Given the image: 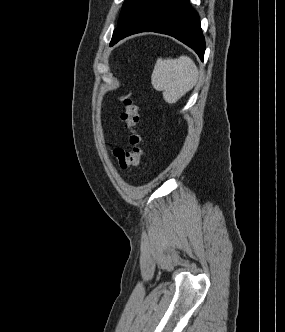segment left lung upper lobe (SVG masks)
Returning a JSON list of instances; mask_svg holds the SVG:
<instances>
[{
    "instance_id": "1",
    "label": "left lung upper lobe",
    "mask_w": 285,
    "mask_h": 332,
    "mask_svg": "<svg viewBox=\"0 0 285 332\" xmlns=\"http://www.w3.org/2000/svg\"><path fill=\"white\" fill-rule=\"evenodd\" d=\"M152 0H126L119 17L117 28L113 32L111 42L119 36L129 24L143 11Z\"/></svg>"
}]
</instances>
